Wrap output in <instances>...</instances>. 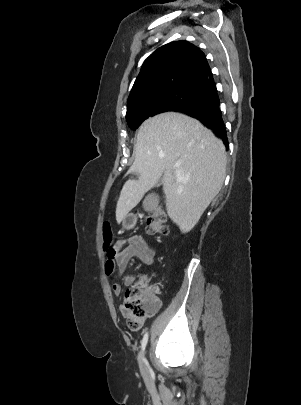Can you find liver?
<instances>
[{"instance_id":"1","label":"liver","mask_w":301,"mask_h":405,"mask_svg":"<svg viewBox=\"0 0 301 405\" xmlns=\"http://www.w3.org/2000/svg\"><path fill=\"white\" fill-rule=\"evenodd\" d=\"M179 166H176V163ZM224 144L198 120L167 112L147 119L139 128L135 160L116 206L122 222L162 176L169 218L189 232L222 188L226 175Z\"/></svg>"}]
</instances>
